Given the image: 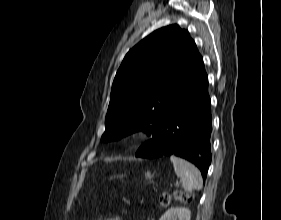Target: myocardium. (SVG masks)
<instances>
[{"label":"myocardium","mask_w":281,"mask_h":220,"mask_svg":"<svg viewBox=\"0 0 281 220\" xmlns=\"http://www.w3.org/2000/svg\"><path fill=\"white\" fill-rule=\"evenodd\" d=\"M141 140V133L139 131H130L126 136H125V142L128 145H134L138 143Z\"/></svg>","instance_id":"myocardium-1"}]
</instances>
